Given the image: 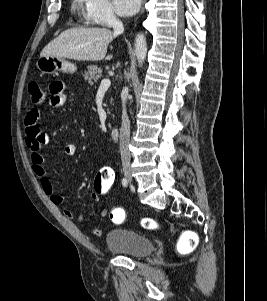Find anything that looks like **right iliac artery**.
<instances>
[{
    "label": "right iliac artery",
    "instance_id": "right-iliac-artery-1",
    "mask_svg": "<svg viewBox=\"0 0 267 301\" xmlns=\"http://www.w3.org/2000/svg\"><path fill=\"white\" fill-rule=\"evenodd\" d=\"M122 185H123L124 187L127 186V180H126L125 178L122 179Z\"/></svg>",
    "mask_w": 267,
    "mask_h": 301
}]
</instances>
